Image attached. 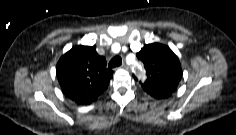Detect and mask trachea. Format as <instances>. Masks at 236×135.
Masks as SVG:
<instances>
[{
  "instance_id": "obj_1",
  "label": "trachea",
  "mask_w": 236,
  "mask_h": 135,
  "mask_svg": "<svg viewBox=\"0 0 236 135\" xmlns=\"http://www.w3.org/2000/svg\"><path fill=\"white\" fill-rule=\"evenodd\" d=\"M122 64V59L119 56L112 58L109 62V68H115Z\"/></svg>"
}]
</instances>
